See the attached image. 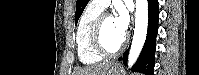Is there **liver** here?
Wrapping results in <instances>:
<instances>
[{"mask_svg": "<svg viewBox=\"0 0 199 75\" xmlns=\"http://www.w3.org/2000/svg\"><path fill=\"white\" fill-rule=\"evenodd\" d=\"M110 64H99L88 66L85 68H79L74 72V75H109Z\"/></svg>", "mask_w": 199, "mask_h": 75, "instance_id": "6515ba94", "label": "liver"}]
</instances>
